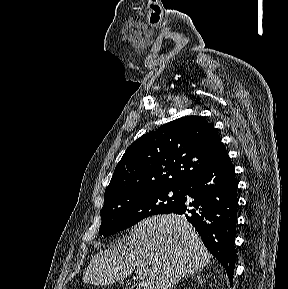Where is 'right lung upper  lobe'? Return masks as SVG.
Returning a JSON list of instances; mask_svg holds the SVG:
<instances>
[{
  "mask_svg": "<svg viewBox=\"0 0 288 289\" xmlns=\"http://www.w3.org/2000/svg\"><path fill=\"white\" fill-rule=\"evenodd\" d=\"M224 153L216 130L205 118L176 119L128 147L105 190V198L152 188H182Z\"/></svg>",
  "mask_w": 288,
  "mask_h": 289,
  "instance_id": "right-lung-upper-lobe-1",
  "label": "right lung upper lobe"
}]
</instances>
